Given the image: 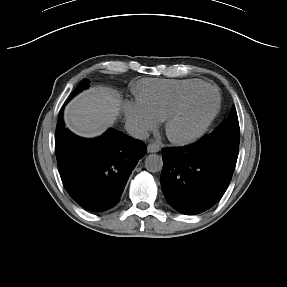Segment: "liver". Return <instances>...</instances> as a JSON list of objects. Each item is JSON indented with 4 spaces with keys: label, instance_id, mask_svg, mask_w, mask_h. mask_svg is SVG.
<instances>
[{
    "label": "liver",
    "instance_id": "1",
    "mask_svg": "<svg viewBox=\"0 0 287 287\" xmlns=\"http://www.w3.org/2000/svg\"><path fill=\"white\" fill-rule=\"evenodd\" d=\"M120 105L121 100L115 90L96 86L79 94L66 106L64 121L73 133L93 138L113 125Z\"/></svg>",
    "mask_w": 287,
    "mask_h": 287
}]
</instances>
